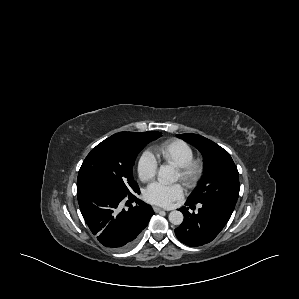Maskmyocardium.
I'll return each mask as SVG.
<instances>
[{
    "mask_svg": "<svg viewBox=\"0 0 299 299\" xmlns=\"http://www.w3.org/2000/svg\"><path fill=\"white\" fill-rule=\"evenodd\" d=\"M180 180L188 187L195 186L204 172V164L200 159L192 158L182 166L177 167Z\"/></svg>",
    "mask_w": 299,
    "mask_h": 299,
    "instance_id": "obj_1",
    "label": "myocardium"
}]
</instances>
